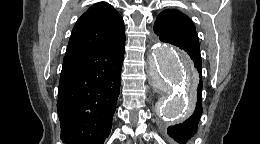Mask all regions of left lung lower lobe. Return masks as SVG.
Returning a JSON list of instances; mask_svg holds the SVG:
<instances>
[{
	"instance_id": "1",
	"label": "left lung lower lobe",
	"mask_w": 260,
	"mask_h": 144,
	"mask_svg": "<svg viewBox=\"0 0 260 144\" xmlns=\"http://www.w3.org/2000/svg\"><path fill=\"white\" fill-rule=\"evenodd\" d=\"M167 43H171L180 49H183L191 57L193 62H198L201 59L199 45L186 42ZM193 96L195 97V101L190 116L182 123L169 126L167 129L169 136L180 144H185L197 131L198 122L202 115V80L199 81L197 89H194Z\"/></svg>"
}]
</instances>
